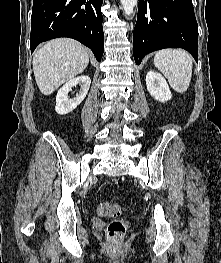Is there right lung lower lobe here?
<instances>
[{
    "instance_id": "obj_1",
    "label": "right lung lower lobe",
    "mask_w": 221,
    "mask_h": 263,
    "mask_svg": "<svg viewBox=\"0 0 221 263\" xmlns=\"http://www.w3.org/2000/svg\"><path fill=\"white\" fill-rule=\"evenodd\" d=\"M103 0H33L31 53L43 41L69 37L89 47L96 59L103 56Z\"/></svg>"
}]
</instances>
